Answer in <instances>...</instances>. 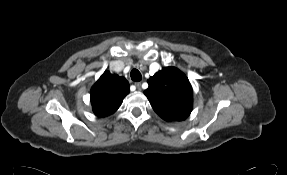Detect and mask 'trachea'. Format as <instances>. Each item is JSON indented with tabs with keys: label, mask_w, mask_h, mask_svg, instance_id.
Masks as SVG:
<instances>
[{
	"label": "trachea",
	"mask_w": 287,
	"mask_h": 175,
	"mask_svg": "<svg viewBox=\"0 0 287 175\" xmlns=\"http://www.w3.org/2000/svg\"><path fill=\"white\" fill-rule=\"evenodd\" d=\"M131 79L135 82H139L142 79L141 73L137 69H133L130 73Z\"/></svg>",
	"instance_id": "3493384b"
}]
</instances>
